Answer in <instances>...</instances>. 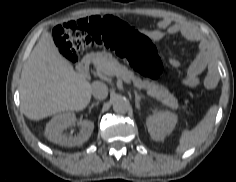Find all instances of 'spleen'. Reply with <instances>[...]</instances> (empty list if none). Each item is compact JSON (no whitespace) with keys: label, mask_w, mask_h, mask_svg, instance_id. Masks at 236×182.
<instances>
[{"label":"spleen","mask_w":236,"mask_h":182,"mask_svg":"<svg viewBox=\"0 0 236 182\" xmlns=\"http://www.w3.org/2000/svg\"><path fill=\"white\" fill-rule=\"evenodd\" d=\"M216 113L217 106L213 105L210 107L204 118L192 130L182 131L176 152L182 153L201 144L212 126Z\"/></svg>","instance_id":"spleen-1"}]
</instances>
